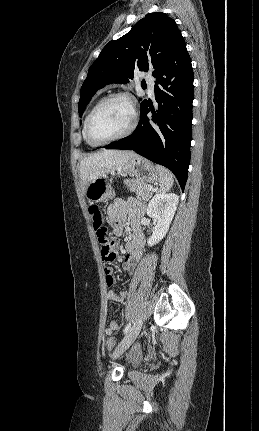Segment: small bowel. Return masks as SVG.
<instances>
[{
	"instance_id": "c3829d8e",
	"label": "small bowel",
	"mask_w": 259,
	"mask_h": 431,
	"mask_svg": "<svg viewBox=\"0 0 259 431\" xmlns=\"http://www.w3.org/2000/svg\"><path fill=\"white\" fill-rule=\"evenodd\" d=\"M142 211L143 206L134 199H129L127 201L116 199L107 210L113 235H120L126 223L130 225L131 236L129 242L125 245V255L123 257V269L129 274L134 273L136 265L143 255L144 235L138 220ZM104 272L108 287H115L116 282L113 277L112 268L106 267ZM126 296V292H115L112 290L106 295L108 301L117 303H123L126 300ZM118 328V322L111 321L106 326L105 332L111 334Z\"/></svg>"
}]
</instances>
